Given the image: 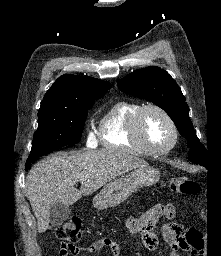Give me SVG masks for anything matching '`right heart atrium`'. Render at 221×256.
Wrapping results in <instances>:
<instances>
[{"label":"right heart atrium","mask_w":221,"mask_h":256,"mask_svg":"<svg viewBox=\"0 0 221 256\" xmlns=\"http://www.w3.org/2000/svg\"><path fill=\"white\" fill-rule=\"evenodd\" d=\"M87 142H88L89 145H93L94 142H95L94 134L90 130L88 131Z\"/></svg>","instance_id":"d8ad5b80"}]
</instances>
